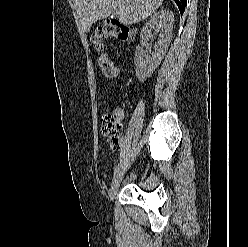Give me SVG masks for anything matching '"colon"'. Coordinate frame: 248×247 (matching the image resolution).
Listing matches in <instances>:
<instances>
[{"label": "colon", "mask_w": 248, "mask_h": 247, "mask_svg": "<svg viewBox=\"0 0 248 247\" xmlns=\"http://www.w3.org/2000/svg\"><path fill=\"white\" fill-rule=\"evenodd\" d=\"M108 38H116L121 41H129L131 31L129 28L116 20H107L98 25L92 35V42L98 50H103V41ZM102 73L109 78H114L118 75V67L110 61L105 55L99 59ZM122 127L118 122V114H105L102 118V133L107 137L109 144L113 148L120 145V135Z\"/></svg>", "instance_id": "1"}]
</instances>
